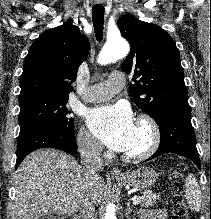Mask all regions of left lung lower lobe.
I'll list each match as a JSON object with an SVG mask.
<instances>
[{
	"label": "left lung lower lobe",
	"mask_w": 211,
	"mask_h": 219,
	"mask_svg": "<svg viewBox=\"0 0 211 219\" xmlns=\"http://www.w3.org/2000/svg\"><path fill=\"white\" fill-rule=\"evenodd\" d=\"M190 120V107H171L165 110L156 121L161 132L159 149L145 161L171 152L189 158L200 169L196 136Z\"/></svg>",
	"instance_id": "obj_1"
}]
</instances>
